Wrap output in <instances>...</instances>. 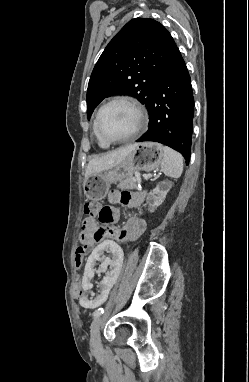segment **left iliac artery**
Returning <instances> with one entry per match:
<instances>
[{
  "label": "left iliac artery",
  "mask_w": 249,
  "mask_h": 382,
  "mask_svg": "<svg viewBox=\"0 0 249 382\" xmlns=\"http://www.w3.org/2000/svg\"><path fill=\"white\" fill-rule=\"evenodd\" d=\"M104 313V309L103 308H99L97 309L94 313H93V316L94 317H97V316H100L101 314Z\"/></svg>",
  "instance_id": "left-iliac-artery-1"
}]
</instances>
